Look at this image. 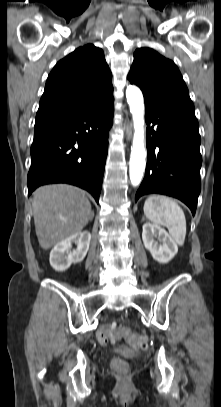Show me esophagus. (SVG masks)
<instances>
[{
  "mask_svg": "<svg viewBox=\"0 0 221 407\" xmlns=\"http://www.w3.org/2000/svg\"><path fill=\"white\" fill-rule=\"evenodd\" d=\"M125 133H126L127 140H130L131 137H132V125H131V123H127L125 125Z\"/></svg>",
  "mask_w": 221,
  "mask_h": 407,
  "instance_id": "1",
  "label": "esophagus"
}]
</instances>
